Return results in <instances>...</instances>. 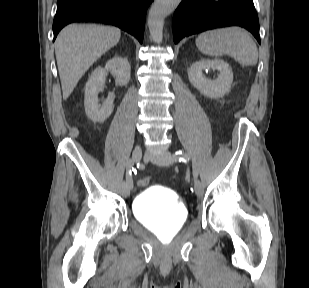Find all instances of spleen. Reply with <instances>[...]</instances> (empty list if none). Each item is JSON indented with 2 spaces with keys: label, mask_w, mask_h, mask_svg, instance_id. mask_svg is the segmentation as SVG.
<instances>
[{
  "label": "spleen",
  "mask_w": 309,
  "mask_h": 288,
  "mask_svg": "<svg viewBox=\"0 0 309 288\" xmlns=\"http://www.w3.org/2000/svg\"><path fill=\"white\" fill-rule=\"evenodd\" d=\"M197 48L205 55L219 57L229 55L242 66H254L258 61V49L247 32L239 27H227L201 33Z\"/></svg>",
  "instance_id": "obj_1"
}]
</instances>
